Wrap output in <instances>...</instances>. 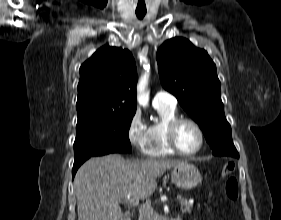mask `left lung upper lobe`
Returning a JSON list of instances; mask_svg holds the SVG:
<instances>
[{
    "mask_svg": "<svg viewBox=\"0 0 281 220\" xmlns=\"http://www.w3.org/2000/svg\"><path fill=\"white\" fill-rule=\"evenodd\" d=\"M160 81L202 129L214 155L237 156L224 114L216 65L208 53L181 37L157 51Z\"/></svg>",
    "mask_w": 281,
    "mask_h": 220,
    "instance_id": "obj_1",
    "label": "left lung upper lobe"
}]
</instances>
